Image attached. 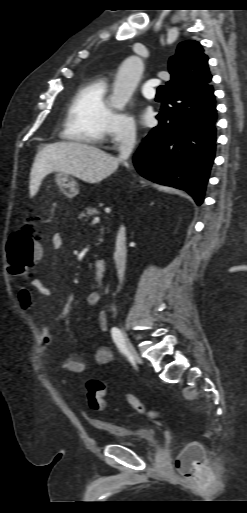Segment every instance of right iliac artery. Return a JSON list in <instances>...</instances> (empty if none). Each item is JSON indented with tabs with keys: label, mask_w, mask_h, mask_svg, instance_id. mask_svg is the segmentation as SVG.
<instances>
[{
	"label": "right iliac artery",
	"mask_w": 247,
	"mask_h": 513,
	"mask_svg": "<svg viewBox=\"0 0 247 513\" xmlns=\"http://www.w3.org/2000/svg\"><path fill=\"white\" fill-rule=\"evenodd\" d=\"M111 335L114 343L116 344L120 352L123 354H127L128 349L126 347L125 339L123 337L122 332L118 328L113 327L111 329Z\"/></svg>",
	"instance_id": "obj_1"
}]
</instances>
